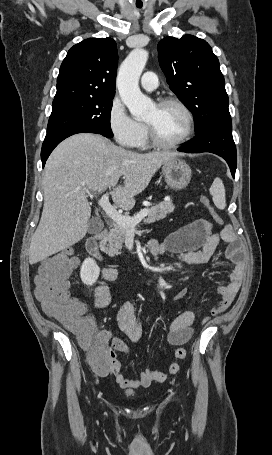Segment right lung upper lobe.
I'll use <instances>...</instances> for the list:
<instances>
[{
    "label": "right lung upper lobe",
    "mask_w": 272,
    "mask_h": 455,
    "mask_svg": "<svg viewBox=\"0 0 272 455\" xmlns=\"http://www.w3.org/2000/svg\"><path fill=\"white\" fill-rule=\"evenodd\" d=\"M117 63L112 38H88L74 45L61 64L54 101L114 97Z\"/></svg>",
    "instance_id": "obj_1"
}]
</instances>
